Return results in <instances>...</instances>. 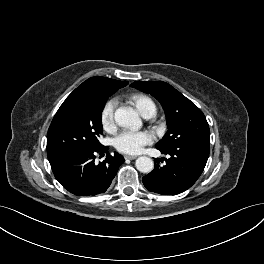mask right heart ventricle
Wrapping results in <instances>:
<instances>
[{
  "label": "right heart ventricle",
  "mask_w": 264,
  "mask_h": 264,
  "mask_svg": "<svg viewBox=\"0 0 264 264\" xmlns=\"http://www.w3.org/2000/svg\"><path fill=\"white\" fill-rule=\"evenodd\" d=\"M131 101L136 106L138 111L144 116L156 113V105L154 101L147 95L134 94L131 96Z\"/></svg>",
  "instance_id": "e07e8e85"
}]
</instances>
